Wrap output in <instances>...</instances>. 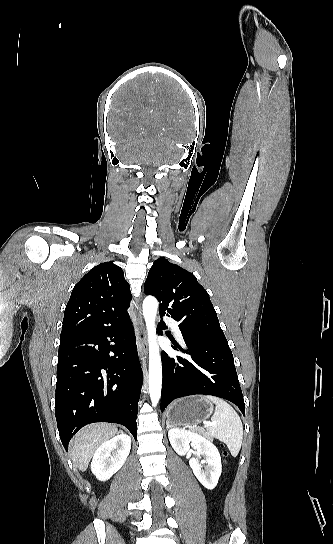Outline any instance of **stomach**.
<instances>
[{"label":"stomach","instance_id":"1","mask_svg":"<svg viewBox=\"0 0 333 544\" xmlns=\"http://www.w3.org/2000/svg\"><path fill=\"white\" fill-rule=\"evenodd\" d=\"M213 412V403L204 396H192L175 401L167 410L173 425H194L206 420Z\"/></svg>","mask_w":333,"mask_h":544}]
</instances>
